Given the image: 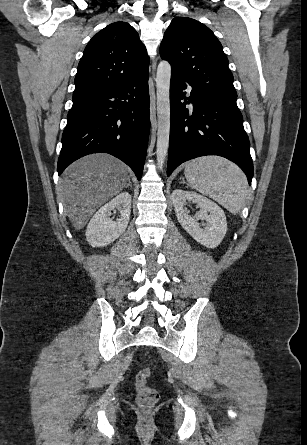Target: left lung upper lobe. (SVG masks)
<instances>
[{
    "label": "left lung upper lobe",
    "mask_w": 307,
    "mask_h": 445,
    "mask_svg": "<svg viewBox=\"0 0 307 445\" xmlns=\"http://www.w3.org/2000/svg\"><path fill=\"white\" fill-rule=\"evenodd\" d=\"M160 55L171 64V72L196 91L236 102L228 59L217 37L204 24L175 17L165 32Z\"/></svg>",
    "instance_id": "left-lung-upper-lobe-1"
}]
</instances>
